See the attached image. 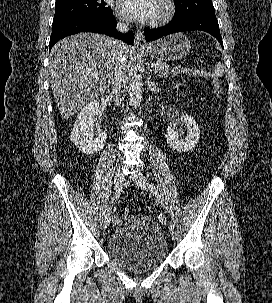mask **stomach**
Instances as JSON below:
<instances>
[{"label": "stomach", "instance_id": "obj_1", "mask_svg": "<svg viewBox=\"0 0 272 303\" xmlns=\"http://www.w3.org/2000/svg\"><path fill=\"white\" fill-rule=\"evenodd\" d=\"M190 49L191 45L187 37L182 33H176L155 42L154 45L142 49V51L163 62L182 59Z\"/></svg>", "mask_w": 272, "mask_h": 303}]
</instances>
